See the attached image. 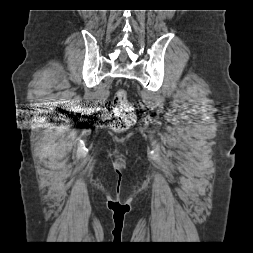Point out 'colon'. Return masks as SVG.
Listing matches in <instances>:
<instances>
[{"instance_id":"5ec220e1","label":"colon","mask_w":253,"mask_h":253,"mask_svg":"<svg viewBox=\"0 0 253 253\" xmlns=\"http://www.w3.org/2000/svg\"><path fill=\"white\" fill-rule=\"evenodd\" d=\"M114 116L111 121L113 131L121 133L126 131L135 122L134 107L129 102L127 92L119 89L113 98Z\"/></svg>"}]
</instances>
